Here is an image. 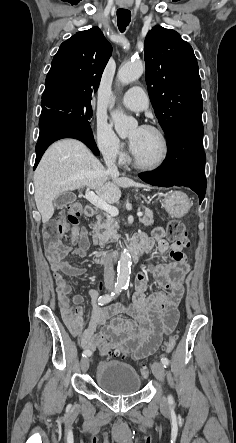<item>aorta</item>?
<instances>
[{
  "mask_svg": "<svg viewBox=\"0 0 236 443\" xmlns=\"http://www.w3.org/2000/svg\"><path fill=\"white\" fill-rule=\"evenodd\" d=\"M143 71L144 66L141 62L125 63L119 68L117 78L122 85H127L137 80L143 74ZM111 117L117 134L122 138L127 137L138 125L135 118L125 115L120 110L113 111ZM131 265V255L128 250L124 249L121 252L117 267V284L119 286H128Z\"/></svg>",
  "mask_w": 236,
  "mask_h": 443,
  "instance_id": "aorta-1",
  "label": "aorta"
}]
</instances>
